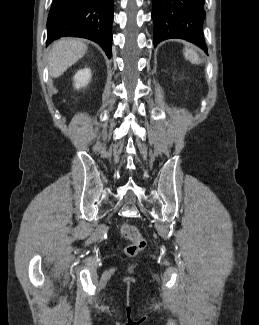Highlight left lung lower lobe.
<instances>
[{"label":"left lung lower lobe","instance_id":"left-lung-lower-lobe-1","mask_svg":"<svg viewBox=\"0 0 259 325\" xmlns=\"http://www.w3.org/2000/svg\"><path fill=\"white\" fill-rule=\"evenodd\" d=\"M205 0H152L154 45L171 38L194 43L207 52L203 34Z\"/></svg>","mask_w":259,"mask_h":325}]
</instances>
